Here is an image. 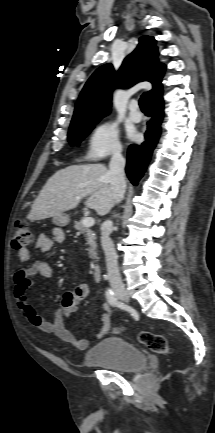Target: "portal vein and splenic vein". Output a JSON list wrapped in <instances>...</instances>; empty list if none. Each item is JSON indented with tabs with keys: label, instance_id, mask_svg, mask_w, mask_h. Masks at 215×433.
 Segmentation results:
<instances>
[{
	"label": "portal vein and splenic vein",
	"instance_id": "1",
	"mask_svg": "<svg viewBox=\"0 0 215 433\" xmlns=\"http://www.w3.org/2000/svg\"><path fill=\"white\" fill-rule=\"evenodd\" d=\"M79 199V197H77ZM95 224V220L92 217H87L83 220V225L86 227H91Z\"/></svg>",
	"mask_w": 215,
	"mask_h": 433
}]
</instances>
